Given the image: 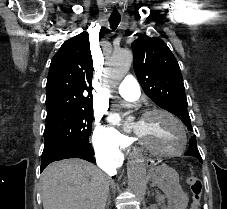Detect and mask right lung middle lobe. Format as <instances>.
Segmentation results:
<instances>
[{
  "label": "right lung middle lobe",
  "mask_w": 227,
  "mask_h": 209,
  "mask_svg": "<svg viewBox=\"0 0 227 209\" xmlns=\"http://www.w3.org/2000/svg\"><path fill=\"white\" fill-rule=\"evenodd\" d=\"M43 154L56 148L89 143L93 121L92 98H61L47 106Z\"/></svg>",
  "instance_id": "1"
}]
</instances>
